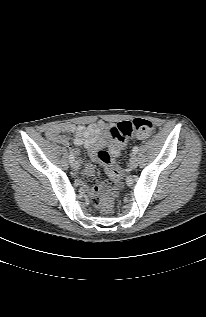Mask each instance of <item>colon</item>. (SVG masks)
I'll use <instances>...</instances> for the list:
<instances>
[{"label": "colon", "instance_id": "1", "mask_svg": "<svg viewBox=\"0 0 206 317\" xmlns=\"http://www.w3.org/2000/svg\"><path fill=\"white\" fill-rule=\"evenodd\" d=\"M154 133V125L151 121L142 118L122 121L109 130L111 139L119 146L124 143L125 139L130 136H136L141 139L149 138ZM97 158L104 164L105 169L110 177V181L101 182L98 185L101 197L98 199L102 211L108 213L112 210L113 197L112 189L121 185L122 172L113 162L112 156L105 150L97 151Z\"/></svg>", "mask_w": 206, "mask_h": 317}]
</instances>
